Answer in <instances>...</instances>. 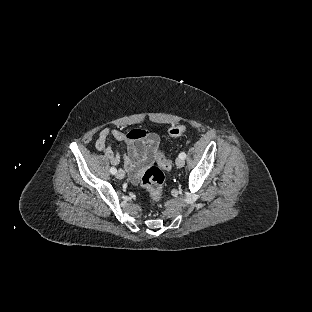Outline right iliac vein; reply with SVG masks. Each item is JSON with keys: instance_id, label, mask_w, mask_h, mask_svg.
I'll return each instance as SVG.
<instances>
[{"instance_id": "obj_1", "label": "right iliac vein", "mask_w": 312, "mask_h": 312, "mask_svg": "<svg viewBox=\"0 0 312 312\" xmlns=\"http://www.w3.org/2000/svg\"><path fill=\"white\" fill-rule=\"evenodd\" d=\"M118 179H123L125 177V172L122 169H119L117 174H116Z\"/></svg>"}]
</instances>
